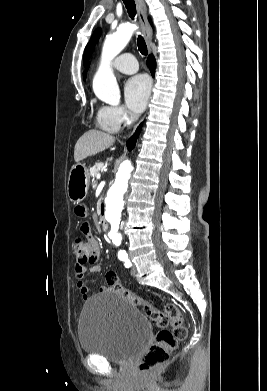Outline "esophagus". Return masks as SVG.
<instances>
[{"label":"esophagus","instance_id":"obj_1","mask_svg":"<svg viewBox=\"0 0 267 391\" xmlns=\"http://www.w3.org/2000/svg\"><path fill=\"white\" fill-rule=\"evenodd\" d=\"M135 2L143 35L145 37V40L150 43L152 39V28L147 18V8L145 2L144 0H135Z\"/></svg>","mask_w":267,"mask_h":391}]
</instances>
